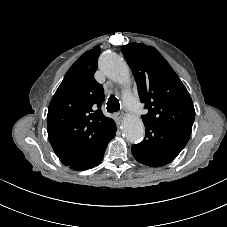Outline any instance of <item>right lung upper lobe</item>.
I'll return each instance as SVG.
<instances>
[{
    "label": "right lung upper lobe",
    "mask_w": 227,
    "mask_h": 227,
    "mask_svg": "<svg viewBox=\"0 0 227 227\" xmlns=\"http://www.w3.org/2000/svg\"><path fill=\"white\" fill-rule=\"evenodd\" d=\"M100 52L93 47L75 61L49 104L48 138L66 166L95 154L114 122L101 111L103 87L94 79Z\"/></svg>",
    "instance_id": "cb5924a9"
}]
</instances>
